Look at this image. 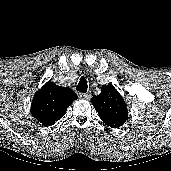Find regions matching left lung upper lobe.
<instances>
[{
    "mask_svg": "<svg viewBox=\"0 0 171 171\" xmlns=\"http://www.w3.org/2000/svg\"><path fill=\"white\" fill-rule=\"evenodd\" d=\"M91 103L101 120L112 128H118L127 120L126 104L112 84L104 85L99 95H93Z\"/></svg>",
    "mask_w": 171,
    "mask_h": 171,
    "instance_id": "left-lung-upper-lobe-1",
    "label": "left lung upper lobe"
}]
</instances>
